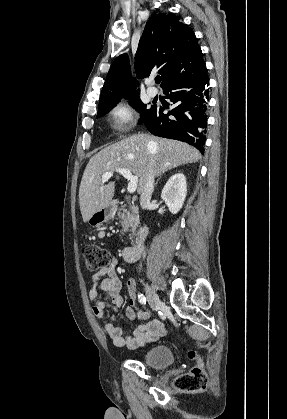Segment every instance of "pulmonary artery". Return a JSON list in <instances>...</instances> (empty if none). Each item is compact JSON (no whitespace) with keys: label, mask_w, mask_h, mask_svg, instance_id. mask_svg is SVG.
I'll list each match as a JSON object with an SVG mask.
<instances>
[{"label":"pulmonary artery","mask_w":287,"mask_h":419,"mask_svg":"<svg viewBox=\"0 0 287 419\" xmlns=\"http://www.w3.org/2000/svg\"><path fill=\"white\" fill-rule=\"evenodd\" d=\"M146 84L148 85L147 94L150 97H155L158 94V91H157V89L155 87H152L151 86L152 81L149 79V80H147Z\"/></svg>","instance_id":"pulmonary-artery-1"}]
</instances>
